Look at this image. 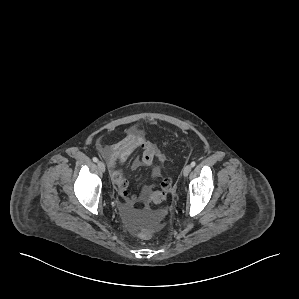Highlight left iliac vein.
<instances>
[{
  "label": "left iliac vein",
  "instance_id": "4c4485c4",
  "mask_svg": "<svg viewBox=\"0 0 299 299\" xmlns=\"http://www.w3.org/2000/svg\"><path fill=\"white\" fill-rule=\"evenodd\" d=\"M191 165H186L184 168H183V175L186 177L189 175V173L191 172Z\"/></svg>",
  "mask_w": 299,
  "mask_h": 299
}]
</instances>
